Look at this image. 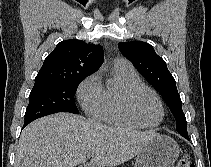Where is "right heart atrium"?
<instances>
[{"label":"right heart atrium","instance_id":"1","mask_svg":"<svg viewBox=\"0 0 211 167\" xmlns=\"http://www.w3.org/2000/svg\"><path fill=\"white\" fill-rule=\"evenodd\" d=\"M103 89L98 73L89 75L80 83L77 96L81 107L86 113L95 115L100 110Z\"/></svg>","mask_w":211,"mask_h":167}]
</instances>
